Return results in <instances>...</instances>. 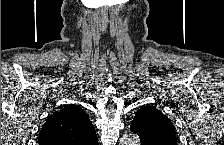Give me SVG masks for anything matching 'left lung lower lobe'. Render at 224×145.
<instances>
[{"mask_svg":"<svg viewBox=\"0 0 224 145\" xmlns=\"http://www.w3.org/2000/svg\"><path fill=\"white\" fill-rule=\"evenodd\" d=\"M142 123L133 120L130 125V131L137 134L140 138L141 145H158L151 137L147 136V134L142 130Z\"/></svg>","mask_w":224,"mask_h":145,"instance_id":"left-lung-lower-lobe-1","label":"left lung lower lobe"}]
</instances>
